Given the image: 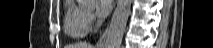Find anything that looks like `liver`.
Listing matches in <instances>:
<instances>
[{"instance_id":"6515ba94","label":"liver","mask_w":213,"mask_h":48,"mask_svg":"<svg viewBox=\"0 0 213 48\" xmlns=\"http://www.w3.org/2000/svg\"><path fill=\"white\" fill-rule=\"evenodd\" d=\"M66 48H93L92 45L86 43V42H79L72 45H69Z\"/></svg>"}]
</instances>
